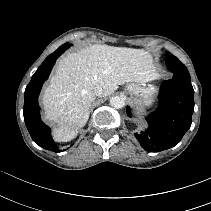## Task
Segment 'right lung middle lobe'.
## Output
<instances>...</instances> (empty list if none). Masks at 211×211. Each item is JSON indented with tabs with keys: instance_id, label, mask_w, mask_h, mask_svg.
Returning a JSON list of instances; mask_svg holds the SVG:
<instances>
[{
	"instance_id": "1",
	"label": "right lung middle lobe",
	"mask_w": 211,
	"mask_h": 211,
	"mask_svg": "<svg viewBox=\"0 0 211 211\" xmlns=\"http://www.w3.org/2000/svg\"><path fill=\"white\" fill-rule=\"evenodd\" d=\"M71 46V44H69V43H66V44H63L62 46H60L55 52H57V51H62V52H64L67 48H69ZM54 52V53H55ZM53 54V53H52ZM49 57V56H48ZM47 57V58H48ZM46 58V59H47Z\"/></svg>"
}]
</instances>
